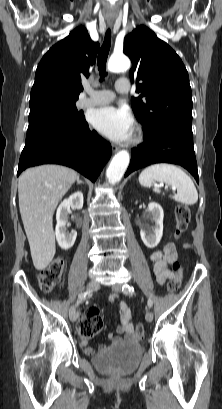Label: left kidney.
I'll return each instance as SVG.
<instances>
[{
  "mask_svg": "<svg viewBox=\"0 0 222 409\" xmlns=\"http://www.w3.org/2000/svg\"><path fill=\"white\" fill-rule=\"evenodd\" d=\"M149 218L155 223L153 227H144L140 231L143 243L148 248L156 247L163 235L164 212L160 204L151 202L148 204Z\"/></svg>",
  "mask_w": 222,
  "mask_h": 409,
  "instance_id": "obj_1",
  "label": "left kidney"
}]
</instances>
